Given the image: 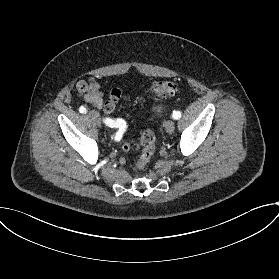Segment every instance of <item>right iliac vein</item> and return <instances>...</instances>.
Masks as SVG:
<instances>
[{
  "label": "right iliac vein",
  "instance_id": "obj_1",
  "mask_svg": "<svg viewBox=\"0 0 279 279\" xmlns=\"http://www.w3.org/2000/svg\"><path fill=\"white\" fill-rule=\"evenodd\" d=\"M89 115L97 122V124L100 126V118L99 113L96 110H91L89 112Z\"/></svg>",
  "mask_w": 279,
  "mask_h": 279
}]
</instances>
